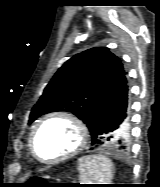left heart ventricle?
<instances>
[{
    "label": "left heart ventricle",
    "instance_id": "left-heart-ventricle-1",
    "mask_svg": "<svg viewBox=\"0 0 160 187\" xmlns=\"http://www.w3.org/2000/svg\"><path fill=\"white\" fill-rule=\"evenodd\" d=\"M73 124L63 118L47 121L36 137V150L45 160H52L71 151L78 143Z\"/></svg>",
    "mask_w": 160,
    "mask_h": 187
}]
</instances>
